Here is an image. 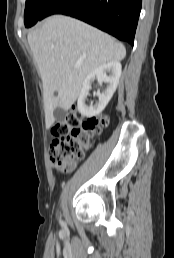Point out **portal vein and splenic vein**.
<instances>
[{"label": "portal vein and splenic vein", "instance_id": "obj_1", "mask_svg": "<svg viewBox=\"0 0 174 258\" xmlns=\"http://www.w3.org/2000/svg\"><path fill=\"white\" fill-rule=\"evenodd\" d=\"M79 67V65H75V68H78Z\"/></svg>", "mask_w": 174, "mask_h": 258}]
</instances>
